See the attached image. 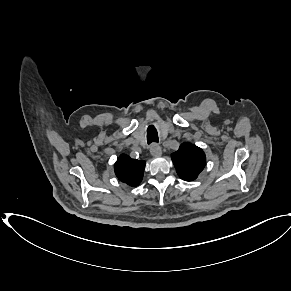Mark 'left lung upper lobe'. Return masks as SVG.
I'll return each mask as SVG.
<instances>
[{"mask_svg": "<svg viewBox=\"0 0 291 291\" xmlns=\"http://www.w3.org/2000/svg\"><path fill=\"white\" fill-rule=\"evenodd\" d=\"M171 157L177 174L186 181L196 179L206 164L203 150L191 143H183Z\"/></svg>", "mask_w": 291, "mask_h": 291, "instance_id": "1", "label": "left lung upper lobe"}]
</instances>
